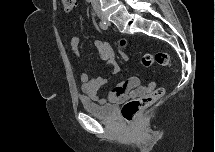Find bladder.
<instances>
[{
    "mask_svg": "<svg viewBox=\"0 0 215 152\" xmlns=\"http://www.w3.org/2000/svg\"><path fill=\"white\" fill-rule=\"evenodd\" d=\"M83 109L89 114L104 120H110L114 116L113 105H100L89 97H81L80 99Z\"/></svg>",
    "mask_w": 215,
    "mask_h": 152,
    "instance_id": "31cf9c89",
    "label": "bladder"
}]
</instances>
